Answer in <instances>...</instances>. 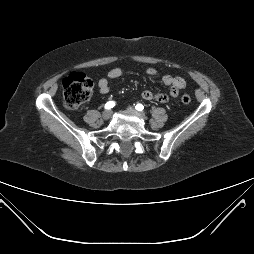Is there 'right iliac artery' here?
I'll list each match as a JSON object with an SVG mask.
<instances>
[{
	"label": "right iliac artery",
	"mask_w": 254,
	"mask_h": 254,
	"mask_svg": "<svg viewBox=\"0 0 254 254\" xmlns=\"http://www.w3.org/2000/svg\"><path fill=\"white\" fill-rule=\"evenodd\" d=\"M115 106V102L114 101H109L105 104V109H111Z\"/></svg>",
	"instance_id": "1"
}]
</instances>
